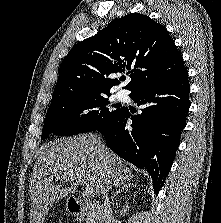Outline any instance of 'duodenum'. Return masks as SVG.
Segmentation results:
<instances>
[{"mask_svg":"<svg viewBox=\"0 0 221 223\" xmlns=\"http://www.w3.org/2000/svg\"><path fill=\"white\" fill-rule=\"evenodd\" d=\"M68 208L71 214L78 220L92 215L94 223H106L104 208L97 203L71 197L68 200Z\"/></svg>","mask_w":221,"mask_h":223,"instance_id":"1","label":"duodenum"}]
</instances>
